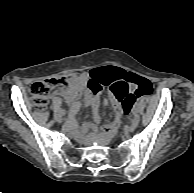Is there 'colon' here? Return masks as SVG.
<instances>
[{"mask_svg": "<svg viewBox=\"0 0 194 193\" xmlns=\"http://www.w3.org/2000/svg\"><path fill=\"white\" fill-rule=\"evenodd\" d=\"M78 82V74L34 82L30 86L32 102L37 107H45L48 102L50 92L59 86H65L67 88L72 87V95L78 96L80 94ZM103 85L109 86V95L114 101L121 103L125 110H129L131 107V99L135 95L131 91V87L135 86L139 90H143L148 84L144 80L138 79L133 74H126L118 79H115L114 82L112 81L106 84L91 82L90 89L94 93H98L101 91Z\"/></svg>", "mask_w": 194, "mask_h": 193, "instance_id": "colon-1", "label": "colon"}]
</instances>
